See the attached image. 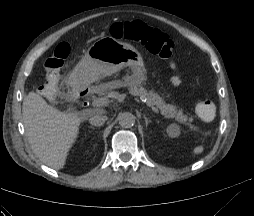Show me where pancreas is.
<instances>
[{
	"label": "pancreas",
	"mask_w": 254,
	"mask_h": 216,
	"mask_svg": "<svg viewBox=\"0 0 254 216\" xmlns=\"http://www.w3.org/2000/svg\"><path fill=\"white\" fill-rule=\"evenodd\" d=\"M119 87L128 88L129 92L132 95L137 96L140 99H146L148 106H155L166 117L175 118V120L179 121L183 125L188 126L190 129H193L191 125L192 118L184 114L182 109H178L177 107L171 104L165 103L162 97H160L158 94L152 91H147L146 89H144L142 85L138 83H134L127 80L111 81L100 85V90L101 92H105Z\"/></svg>",
	"instance_id": "obj_1"
}]
</instances>
